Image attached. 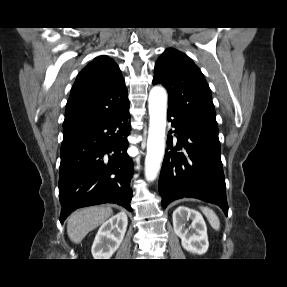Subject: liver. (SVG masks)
I'll return each mask as SVG.
<instances>
[{
    "label": "liver",
    "instance_id": "liver-1",
    "mask_svg": "<svg viewBox=\"0 0 287 287\" xmlns=\"http://www.w3.org/2000/svg\"><path fill=\"white\" fill-rule=\"evenodd\" d=\"M112 214L109 206H93L75 211L67 222L70 240L80 243L90 231L103 224Z\"/></svg>",
    "mask_w": 287,
    "mask_h": 287
}]
</instances>
